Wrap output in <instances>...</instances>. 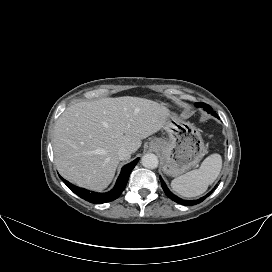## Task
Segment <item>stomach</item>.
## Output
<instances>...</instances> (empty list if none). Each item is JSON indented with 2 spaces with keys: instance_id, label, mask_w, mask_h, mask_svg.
Wrapping results in <instances>:
<instances>
[{
  "instance_id": "obj_1",
  "label": "stomach",
  "mask_w": 272,
  "mask_h": 272,
  "mask_svg": "<svg viewBox=\"0 0 272 272\" xmlns=\"http://www.w3.org/2000/svg\"><path fill=\"white\" fill-rule=\"evenodd\" d=\"M162 129L167 132L168 138H154L149 148L161 154L164 173L175 177L196 167L206 153L199 130L176 114H169Z\"/></svg>"
}]
</instances>
